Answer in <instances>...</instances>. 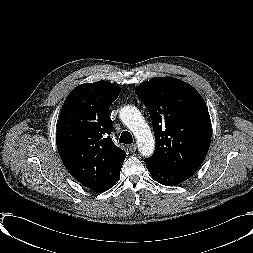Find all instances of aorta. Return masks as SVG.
I'll return each instance as SVG.
<instances>
[{
  "instance_id": "1",
  "label": "aorta",
  "mask_w": 253,
  "mask_h": 253,
  "mask_svg": "<svg viewBox=\"0 0 253 253\" xmlns=\"http://www.w3.org/2000/svg\"><path fill=\"white\" fill-rule=\"evenodd\" d=\"M121 121L130 129L137 139L138 150L142 156L149 157L155 149V140L151 129L134 106H124L119 113Z\"/></svg>"
}]
</instances>
